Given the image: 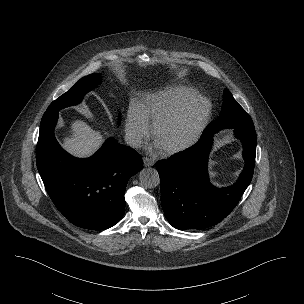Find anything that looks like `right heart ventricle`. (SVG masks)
Segmentation results:
<instances>
[{"mask_svg": "<svg viewBox=\"0 0 304 304\" xmlns=\"http://www.w3.org/2000/svg\"><path fill=\"white\" fill-rule=\"evenodd\" d=\"M195 94H197L196 90L191 87L175 85L150 95L137 107L145 119L154 124L160 117L174 110Z\"/></svg>", "mask_w": 304, "mask_h": 304, "instance_id": "right-heart-ventricle-1", "label": "right heart ventricle"}]
</instances>
